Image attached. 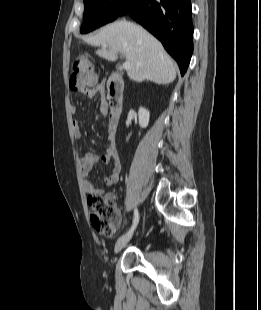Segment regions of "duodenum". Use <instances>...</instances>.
<instances>
[{"mask_svg":"<svg viewBox=\"0 0 261 310\" xmlns=\"http://www.w3.org/2000/svg\"><path fill=\"white\" fill-rule=\"evenodd\" d=\"M124 82L122 76L115 72L112 73L107 81V95L110 110V126L116 130L123 98Z\"/></svg>","mask_w":261,"mask_h":310,"instance_id":"obj_1","label":"duodenum"}]
</instances>
